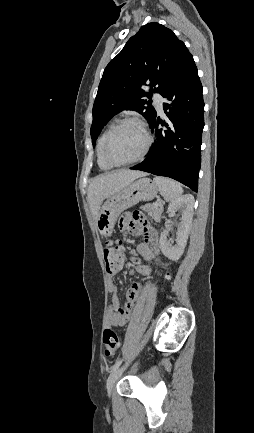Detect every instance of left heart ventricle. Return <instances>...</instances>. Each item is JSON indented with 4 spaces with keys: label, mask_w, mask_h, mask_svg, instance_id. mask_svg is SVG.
<instances>
[{
    "label": "left heart ventricle",
    "mask_w": 254,
    "mask_h": 433,
    "mask_svg": "<svg viewBox=\"0 0 254 433\" xmlns=\"http://www.w3.org/2000/svg\"><path fill=\"white\" fill-rule=\"evenodd\" d=\"M145 142V136L137 125L126 124L111 138L107 154L115 162H126L141 153Z\"/></svg>",
    "instance_id": "1"
}]
</instances>
